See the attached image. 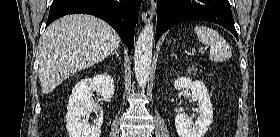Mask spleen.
<instances>
[{
    "instance_id": "3e777b00",
    "label": "spleen",
    "mask_w": 280,
    "mask_h": 137,
    "mask_svg": "<svg viewBox=\"0 0 280 137\" xmlns=\"http://www.w3.org/2000/svg\"><path fill=\"white\" fill-rule=\"evenodd\" d=\"M199 41L210 46V59L214 62H222L232 57V51L226 40L213 28L196 26L194 28Z\"/></svg>"
}]
</instances>
